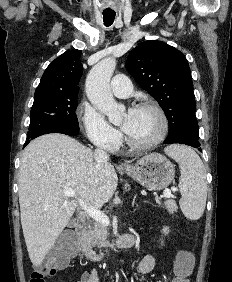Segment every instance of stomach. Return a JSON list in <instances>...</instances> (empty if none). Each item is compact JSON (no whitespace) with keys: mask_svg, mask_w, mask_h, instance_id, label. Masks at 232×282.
Here are the masks:
<instances>
[{"mask_svg":"<svg viewBox=\"0 0 232 282\" xmlns=\"http://www.w3.org/2000/svg\"><path fill=\"white\" fill-rule=\"evenodd\" d=\"M125 173L148 190L159 191L174 180L175 168L165 156L150 153L125 169Z\"/></svg>","mask_w":232,"mask_h":282,"instance_id":"obj_1","label":"stomach"}]
</instances>
